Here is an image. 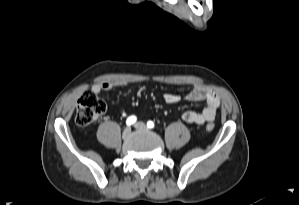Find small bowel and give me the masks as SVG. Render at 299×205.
<instances>
[{
	"label": "small bowel",
	"mask_w": 299,
	"mask_h": 205,
	"mask_svg": "<svg viewBox=\"0 0 299 205\" xmlns=\"http://www.w3.org/2000/svg\"><path fill=\"white\" fill-rule=\"evenodd\" d=\"M121 86H123L122 83L106 81L94 84L91 91L94 94H98L102 91H110ZM163 99L167 104H175L181 101V96L175 93H165ZM186 99L194 102L203 101L206 106L201 112L192 110L184 112L182 117L185 122L202 125L215 119L220 106V99L216 92L201 84H195L192 90L187 94Z\"/></svg>",
	"instance_id": "c3829d8e"
}]
</instances>
